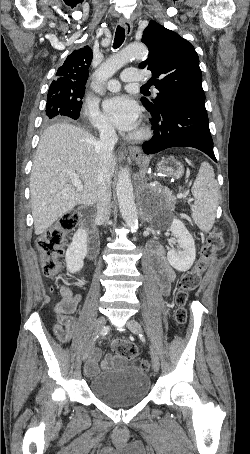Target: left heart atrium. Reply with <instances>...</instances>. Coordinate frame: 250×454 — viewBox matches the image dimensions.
<instances>
[{
  "label": "left heart atrium",
  "mask_w": 250,
  "mask_h": 454,
  "mask_svg": "<svg viewBox=\"0 0 250 454\" xmlns=\"http://www.w3.org/2000/svg\"><path fill=\"white\" fill-rule=\"evenodd\" d=\"M103 109L113 125L124 132L137 128L140 109L137 103L126 95H115L103 102Z\"/></svg>",
  "instance_id": "obj_1"
}]
</instances>
